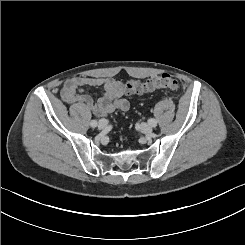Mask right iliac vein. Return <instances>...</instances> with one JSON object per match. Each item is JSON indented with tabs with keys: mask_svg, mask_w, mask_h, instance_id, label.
Wrapping results in <instances>:
<instances>
[{
	"mask_svg": "<svg viewBox=\"0 0 245 245\" xmlns=\"http://www.w3.org/2000/svg\"><path fill=\"white\" fill-rule=\"evenodd\" d=\"M108 123H107V120L106 119H101L99 122H98V128L100 130H103L107 127Z\"/></svg>",
	"mask_w": 245,
	"mask_h": 245,
	"instance_id": "1",
	"label": "right iliac vein"
}]
</instances>
